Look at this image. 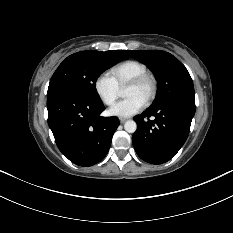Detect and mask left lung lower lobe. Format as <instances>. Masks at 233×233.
I'll return each instance as SVG.
<instances>
[{"label":"left lung lower lobe","instance_id":"obj_1","mask_svg":"<svg viewBox=\"0 0 233 233\" xmlns=\"http://www.w3.org/2000/svg\"><path fill=\"white\" fill-rule=\"evenodd\" d=\"M194 114L195 104L178 100L149 107L135 116L138 128L132 142L138 156L151 164L172 159L188 137ZM150 116L155 119L149 120Z\"/></svg>","mask_w":233,"mask_h":233}]
</instances>
